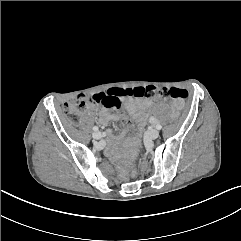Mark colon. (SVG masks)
<instances>
[{
  "label": "colon",
  "instance_id": "1",
  "mask_svg": "<svg viewBox=\"0 0 241 241\" xmlns=\"http://www.w3.org/2000/svg\"><path fill=\"white\" fill-rule=\"evenodd\" d=\"M129 96L148 99H172L180 102L187 97V92L179 88H165L152 85L147 87H137L134 89L110 87L92 96L82 94L73 98L65 104L64 113L70 121L76 122L81 111L87 106L105 105L117 108L120 101ZM177 116L178 111L172 110L171 114L168 116V122L170 124H175Z\"/></svg>",
  "mask_w": 241,
  "mask_h": 241
}]
</instances>
